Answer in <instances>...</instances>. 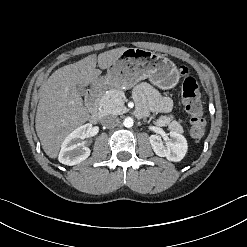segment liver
I'll use <instances>...</instances> for the list:
<instances>
[{"label":"liver","instance_id":"6515ba94","mask_svg":"<svg viewBox=\"0 0 247 247\" xmlns=\"http://www.w3.org/2000/svg\"><path fill=\"white\" fill-rule=\"evenodd\" d=\"M127 47L89 55L82 60L56 70L40 87L35 128L44 152L56 158L61 144L75 128L89 120L78 87H86L107 69Z\"/></svg>","mask_w":247,"mask_h":247}]
</instances>
